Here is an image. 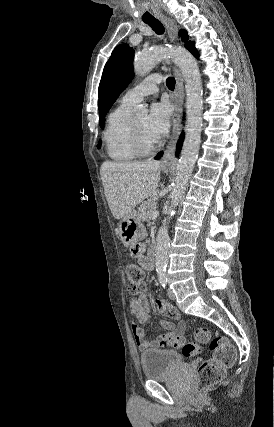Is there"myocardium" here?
I'll return each instance as SVG.
<instances>
[{
    "mask_svg": "<svg viewBox=\"0 0 274 427\" xmlns=\"http://www.w3.org/2000/svg\"><path fill=\"white\" fill-rule=\"evenodd\" d=\"M130 137L133 150L141 157L150 156L161 147V143L159 141L154 145H146L141 138L135 122H132Z\"/></svg>",
    "mask_w": 274,
    "mask_h": 427,
    "instance_id": "f54148a6",
    "label": "myocardium"
}]
</instances>
